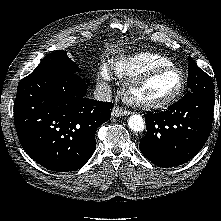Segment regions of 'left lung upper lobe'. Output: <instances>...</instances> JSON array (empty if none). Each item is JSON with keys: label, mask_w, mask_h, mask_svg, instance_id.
I'll return each instance as SVG.
<instances>
[{"label": "left lung upper lobe", "mask_w": 221, "mask_h": 221, "mask_svg": "<svg viewBox=\"0 0 221 221\" xmlns=\"http://www.w3.org/2000/svg\"><path fill=\"white\" fill-rule=\"evenodd\" d=\"M189 59L188 68V86L190 88L184 96L191 93H203L214 97V86L211 77L202 71L191 57Z\"/></svg>", "instance_id": "obj_1"}]
</instances>
